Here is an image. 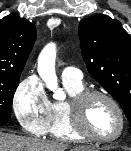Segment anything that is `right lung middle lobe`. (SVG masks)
<instances>
[{
    "label": "right lung middle lobe",
    "mask_w": 131,
    "mask_h": 151,
    "mask_svg": "<svg viewBox=\"0 0 131 151\" xmlns=\"http://www.w3.org/2000/svg\"><path fill=\"white\" fill-rule=\"evenodd\" d=\"M20 74H0V121L11 118L13 96L19 85Z\"/></svg>",
    "instance_id": "1"
}]
</instances>
